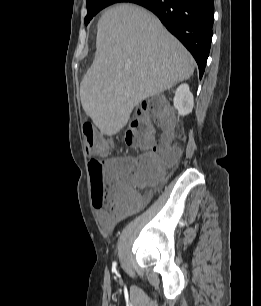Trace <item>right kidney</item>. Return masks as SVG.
I'll return each mask as SVG.
<instances>
[{"instance_id": "right-kidney-1", "label": "right kidney", "mask_w": 261, "mask_h": 306, "mask_svg": "<svg viewBox=\"0 0 261 306\" xmlns=\"http://www.w3.org/2000/svg\"><path fill=\"white\" fill-rule=\"evenodd\" d=\"M173 103L179 115L184 116L192 112L194 106L193 95L187 84H181L176 89Z\"/></svg>"}]
</instances>
